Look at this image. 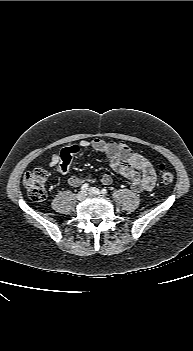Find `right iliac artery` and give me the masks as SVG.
Instances as JSON below:
<instances>
[{
	"label": "right iliac artery",
	"instance_id": "obj_1",
	"mask_svg": "<svg viewBox=\"0 0 193 351\" xmlns=\"http://www.w3.org/2000/svg\"><path fill=\"white\" fill-rule=\"evenodd\" d=\"M88 187H89V184L85 183L81 186V190L86 191L88 189Z\"/></svg>",
	"mask_w": 193,
	"mask_h": 351
}]
</instances>
